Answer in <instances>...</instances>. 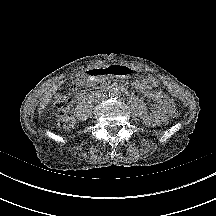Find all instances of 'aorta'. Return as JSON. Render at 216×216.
Returning <instances> with one entry per match:
<instances>
[{
  "label": "aorta",
  "instance_id": "762f6f07",
  "mask_svg": "<svg viewBox=\"0 0 216 216\" xmlns=\"http://www.w3.org/2000/svg\"><path fill=\"white\" fill-rule=\"evenodd\" d=\"M119 94H120V92H119V90H118L117 88H113V89L110 91V95H111L112 97H117V96H119Z\"/></svg>",
  "mask_w": 216,
  "mask_h": 216
}]
</instances>
